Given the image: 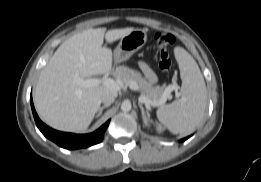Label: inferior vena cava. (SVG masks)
Returning a JSON list of instances; mask_svg holds the SVG:
<instances>
[{
  "label": "inferior vena cava",
  "mask_w": 261,
  "mask_h": 182,
  "mask_svg": "<svg viewBox=\"0 0 261 182\" xmlns=\"http://www.w3.org/2000/svg\"><path fill=\"white\" fill-rule=\"evenodd\" d=\"M115 100V96L112 94H105L101 97V102L105 105H111Z\"/></svg>",
  "instance_id": "inferior-vena-cava-1"
}]
</instances>
